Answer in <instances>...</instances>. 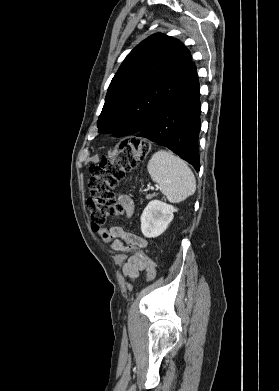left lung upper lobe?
Listing matches in <instances>:
<instances>
[{"label":"left lung upper lobe","instance_id":"1","mask_svg":"<svg viewBox=\"0 0 279 391\" xmlns=\"http://www.w3.org/2000/svg\"><path fill=\"white\" fill-rule=\"evenodd\" d=\"M196 73L190 51L156 33L137 45L113 77L98 118L99 132L119 137L143 131Z\"/></svg>","mask_w":279,"mask_h":391}]
</instances>
